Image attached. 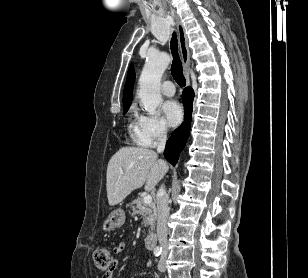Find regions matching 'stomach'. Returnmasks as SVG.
Returning a JSON list of instances; mask_svg holds the SVG:
<instances>
[{
	"label": "stomach",
	"mask_w": 308,
	"mask_h": 278,
	"mask_svg": "<svg viewBox=\"0 0 308 278\" xmlns=\"http://www.w3.org/2000/svg\"><path fill=\"white\" fill-rule=\"evenodd\" d=\"M125 222V213L122 209L112 211L103 223V231L110 232L121 227Z\"/></svg>",
	"instance_id": "1"
}]
</instances>
